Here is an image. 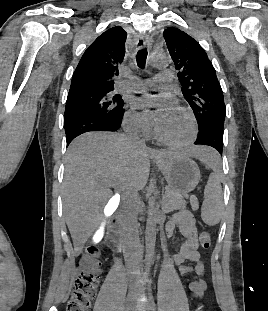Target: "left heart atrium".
Here are the masks:
<instances>
[{"instance_id":"39dd6f15","label":"left heart atrium","mask_w":268,"mask_h":311,"mask_svg":"<svg viewBox=\"0 0 268 311\" xmlns=\"http://www.w3.org/2000/svg\"><path fill=\"white\" fill-rule=\"evenodd\" d=\"M153 97L157 102L150 103L147 98ZM132 107L140 109L157 105L159 108L152 112V116L157 124L165 120L172 112L177 110V104L174 97L169 93L145 94L141 97H134L130 101Z\"/></svg>"}]
</instances>
